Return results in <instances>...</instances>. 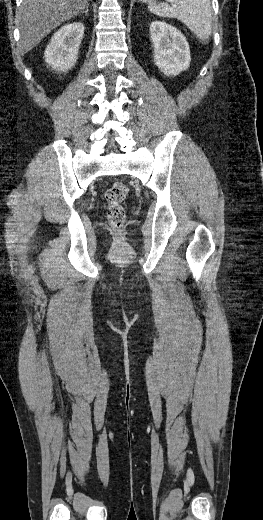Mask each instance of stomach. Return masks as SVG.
<instances>
[{
  "instance_id": "obj_1",
  "label": "stomach",
  "mask_w": 263,
  "mask_h": 520,
  "mask_svg": "<svg viewBox=\"0 0 263 520\" xmlns=\"http://www.w3.org/2000/svg\"><path fill=\"white\" fill-rule=\"evenodd\" d=\"M139 1H141V2H147L148 0H139Z\"/></svg>"
}]
</instances>
